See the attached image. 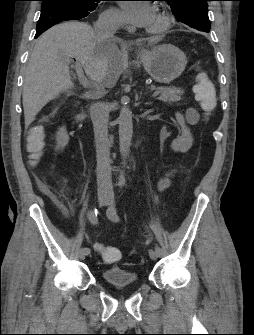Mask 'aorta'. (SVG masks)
Returning <instances> with one entry per match:
<instances>
[{
	"label": "aorta",
	"mask_w": 254,
	"mask_h": 335,
	"mask_svg": "<svg viewBox=\"0 0 254 335\" xmlns=\"http://www.w3.org/2000/svg\"><path fill=\"white\" fill-rule=\"evenodd\" d=\"M123 106L120 111L118 118L119 123V148L120 153L125 164V159L129 155L131 140L133 135V122H132V112L129 108V98L127 96L122 98ZM125 177L124 173L121 172L118 178V183L120 185L124 184Z\"/></svg>",
	"instance_id": "762f6f07"
}]
</instances>
